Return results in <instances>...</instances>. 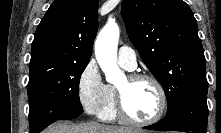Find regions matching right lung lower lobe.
I'll return each mask as SVG.
<instances>
[{
  "label": "right lung lower lobe",
  "instance_id": "obj_1",
  "mask_svg": "<svg viewBox=\"0 0 221 133\" xmlns=\"http://www.w3.org/2000/svg\"><path fill=\"white\" fill-rule=\"evenodd\" d=\"M82 112L75 108L63 111H50L49 109H32L29 111L30 133H39L56 120L74 119Z\"/></svg>",
  "mask_w": 221,
  "mask_h": 133
}]
</instances>
